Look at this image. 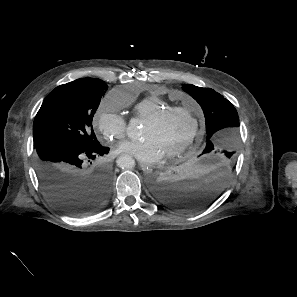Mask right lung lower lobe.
<instances>
[{
	"label": "right lung lower lobe",
	"mask_w": 297,
	"mask_h": 297,
	"mask_svg": "<svg viewBox=\"0 0 297 297\" xmlns=\"http://www.w3.org/2000/svg\"><path fill=\"white\" fill-rule=\"evenodd\" d=\"M35 148L36 173L54 206L71 215H85L104 205L111 174L104 165L90 167L88 162L104 156L109 148H83L65 140L46 141Z\"/></svg>",
	"instance_id": "98d812e1"
}]
</instances>
